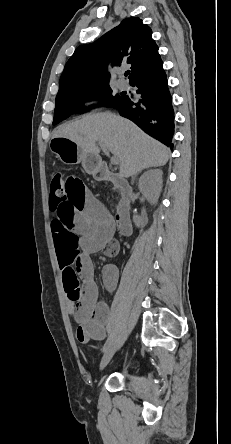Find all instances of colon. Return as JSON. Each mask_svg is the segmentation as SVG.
<instances>
[{
	"label": "colon",
	"mask_w": 231,
	"mask_h": 444,
	"mask_svg": "<svg viewBox=\"0 0 231 444\" xmlns=\"http://www.w3.org/2000/svg\"><path fill=\"white\" fill-rule=\"evenodd\" d=\"M66 178L63 172L58 169L54 171L51 181V197L61 200L66 196Z\"/></svg>",
	"instance_id": "1"
}]
</instances>
